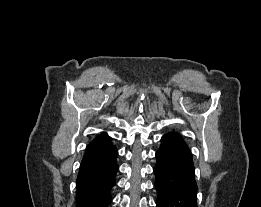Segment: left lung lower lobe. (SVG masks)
<instances>
[{"label":"left lung lower lobe","instance_id":"left-lung-lower-lobe-1","mask_svg":"<svg viewBox=\"0 0 261 207\" xmlns=\"http://www.w3.org/2000/svg\"><path fill=\"white\" fill-rule=\"evenodd\" d=\"M154 167L157 207H197V184L191 150L177 132L161 137Z\"/></svg>","mask_w":261,"mask_h":207}]
</instances>
